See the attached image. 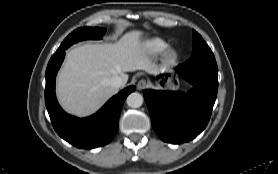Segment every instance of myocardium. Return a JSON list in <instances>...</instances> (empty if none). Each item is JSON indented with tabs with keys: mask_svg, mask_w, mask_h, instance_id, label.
Wrapping results in <instances>:
<instances>
[{
	"mask_svg": "<svg viewBox=\"0 0 278 174\" xmlns=\"http://www.w3.org/2000/svg\"><path fill=\"white\" fill-rule=\"evenodd\" d=\"M165 59L169 60V61H173L176 58V52L173 49H168L165 54Z\"/></svg>",
	"mask_w": 278,
	"mask_h": 174,
	"instance_id": "myocardium-1",
	"label": "myocardium"
}]
</instances>
